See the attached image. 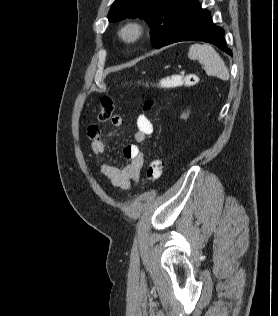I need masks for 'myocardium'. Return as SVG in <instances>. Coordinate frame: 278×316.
Instances as JSON below:
<instances>
[{
	"instance_id": "myocardium-1",
	"label": "myocardium",
	"mask_w": 278,
	"mask_h": 316,
	"mask_svg": "<svg viewBox=\"0 0 278 316\" xmlns=\"http://www.w3.org/2000/svg\"><path fill=\"white\" fill-rule=\"evenodd\" d=\"M146 35V25L138 19H131L124 22L117 31L119 40L124 45H134Z\"/></svg>"
}]
</instances>
